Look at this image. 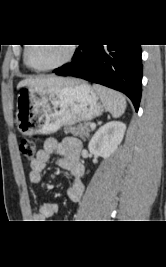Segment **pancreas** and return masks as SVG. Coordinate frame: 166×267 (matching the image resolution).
Instances as JSON below:
<instances>
[{"instance_id": "obj_1", "label": "pancreas", "mask_w": 166, "mask_h": 267, "mask_svg": "<svg viewBox=\"0 0 166 267\" xmlns=\"http://www.w3.org/2000/svg\"><path fill=\"white\" fill-rule=\"evenodd\" d=\"M90 125H91L90 122H85L74 126L69 125L64 128V133L65 134L71 133L74 136H78L82 139H85L86 137L89 136Z\"/></svg>"}]
</instances>
